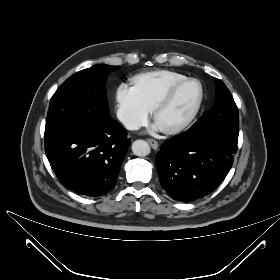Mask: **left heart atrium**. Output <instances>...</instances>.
I'll use <instances>...</instances> for the list:
<instances>
[{
    "instance_id": "obj_1",
    "label": "left heart atrium",
    "mask_w": 280,
    "mask_h": 280,
    "mask_svg": "<svg viewBox=\"0 0 280 280\" xmlns=\"http://www.w3.org/2000/svg\"><path fill=\"white\" fill-rule=\"evenodd\" d=\"M153 129L154 130H160V128L158 127V125L156 123L153 125Z\"/></svg>"
}]
</instances>
